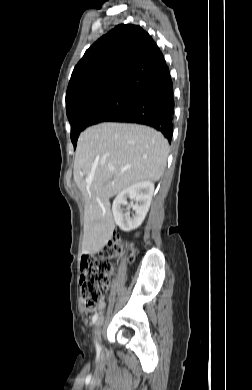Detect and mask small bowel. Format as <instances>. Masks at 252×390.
I'll use <instances>...</instances> for the list:
<instances>
[{
  "mask_svg": "<svg viewBox=\"0 0 252 390\" xmlns=\"http://www.w3.org/2000/svg\"><path fill=\"white\" fill-rule=\"evenodd\" d=\"M100 309L104 308V303L102 302L99 306Z\"/></svg>",
  "mask_w": 252,
  "mask_h": 390,
  "instance_id": "1",
  "label": "small bowel"
}]
</instances>
